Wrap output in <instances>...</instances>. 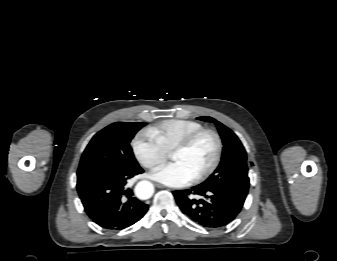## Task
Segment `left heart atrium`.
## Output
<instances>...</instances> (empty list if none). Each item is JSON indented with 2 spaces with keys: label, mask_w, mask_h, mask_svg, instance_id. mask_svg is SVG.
I'll use <instances>...</instances> for the list:
<instances>
[{
  "label": "left heart atrium",
  "mask_w": 337,
  "mask_h": 261,
  "mask_svg": "<svg viewBox=\"0 0 337 261\" xmlns=\"http://www.w3.org/2000/svg\"><path fill=\"white\" fill-rule=\"evenodd\" d=\"M151 177L171 187H184L191 184L194 180V176L189 170L178 161L159 165L153 169Z\"/></svg>",
  "instance_id": "1"
}]
</instances>
